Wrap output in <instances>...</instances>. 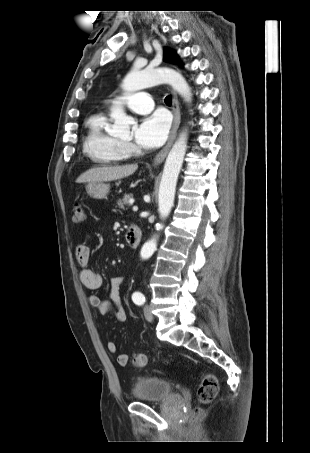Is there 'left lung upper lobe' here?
I'll return each mask as SVG.
<instances>
[{
    "label": "left lung upper lobe",
    "mask_w": 310,
    "mask_h": 453,
    "mask_svg": "<svg viewBox=\"0 0 310 453\" xmlns=\"http://www.w3.org/2000/svg\"><path fill=\"white\" fill-rule=\"evenodd\" d=\"M164 61L173 63V64H178L179 63L178 55L170 49H165L164 50Z\"/></svg>",
    "instance_id": "left-lung-upper-lobe-1"
}]
</instances>
